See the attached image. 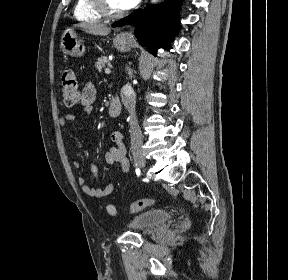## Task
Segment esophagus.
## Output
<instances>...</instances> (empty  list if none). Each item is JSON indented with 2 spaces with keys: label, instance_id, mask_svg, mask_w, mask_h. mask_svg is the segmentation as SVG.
<instances>
[{
  "label": "esophagus",
  "instance_id": "1",
  "mask_svg": "<svg viewBox=\"0 0 288 280\" xmlns=\"http://www.w3.org/2000/svg\"><path fill=\"white\" fill-rule=\"evenodd\" d=\"M120 35L123 36V37H126V36H127V33L122 32Z\"/></svg>",
  "mask_w": 288,
  "mask_h": 280
}]
</instances>
